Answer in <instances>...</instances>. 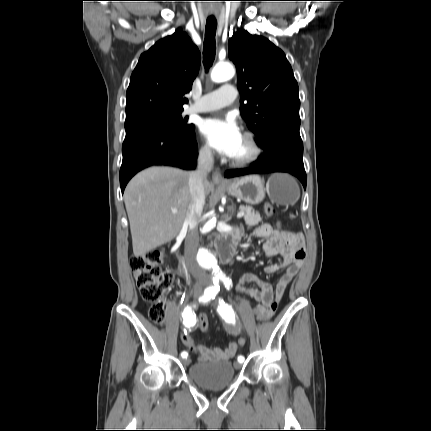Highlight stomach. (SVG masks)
Instances as JSON below:
<instances>
[{
	"mask_svg": "<svg viewBox=\"0 0 431 431\" xmlns=\"http://www.w3.org/2000/svg\"><path fill=\"white\" fill-rule=\"evenodd\" d=\"M225 189L230 195L251 205L261 203L266 192L273 202L281 205L295 203L300 193L296 181L285 174L273 175L266 187L259 176L250 175L230 181Z\"/></svg>",
	"mask_w": 431,
	"mask_h": 431,
	"instance_id": "0dacf381",
	"label": "stomach"
}]
</instances>
